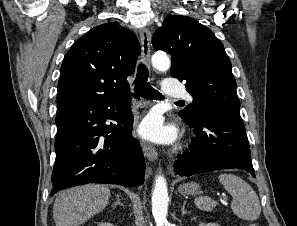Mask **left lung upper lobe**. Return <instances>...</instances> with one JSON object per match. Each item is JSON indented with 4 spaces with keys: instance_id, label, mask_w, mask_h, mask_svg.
<instances>
[{
    "instance_id": "left-lung-upper-lobe-1",
    "label": "left lung upper lobe",
    "mask_w": 297,
    "mask_h": 226,
    "mask_svg": "<svg viewBox=\"0 0 297 226\" xmlns=\"http://www.w3.org/2000/svg\"><path fill=\"white\" fill-rule=\"evenodd\" d=\"M156 50L172 56L171 75L186 81L193 102L179 115L194 122L214 113L240 116L231 62L223 44L207 27L187 16H169L152 39Z\"/></svg>"
}]
</instances>
